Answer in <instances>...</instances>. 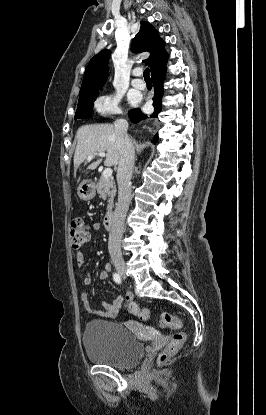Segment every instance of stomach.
Returning a JSON list of instances; mask_svg holds the SVG:
<instances>
[{
	"mask_svg": "<svg viewBox=\"0 0 266 415\" xmlns=\"http://www.w3.org/2000/svg\"><path fill=\"white\" fill-rule=\"evenodd\" d=\"M78 197L83 201H89L95 197V185L90 180H84L77 189Z\"/></svg>",
	"mask_w": 266,
	"mask_h": 415,
	"instance_id": "1",
	"label": "stomach"
}]
</instances>
